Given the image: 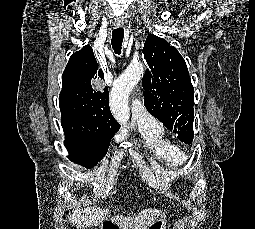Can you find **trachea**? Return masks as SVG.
<instances>
[{
    "label": "trachea",
    "mask_w": 255,
    "mask_h": 229,
    "mask_svg": "<svg viewBox=\"0 0 255 229\" xmlns=\"http://www.w3.org/2000/svg\"><path fill=\"white\" fill-rule=\"evenodd\" d=\"M124 29L119 27L112 32V48L116 54H121Z\"/></svg>",
    "instance_id": "3493384b"
}]
</instances>
